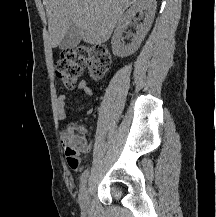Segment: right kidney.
I'll list each match as a JSON object with an SVG mask.
<instances>
[{
  "instance_id": "1",
  "label": "right kidney",
  "mask_w": 216,
  "mask_h": 217,
  "mask_svg": "<svg viewBox=\"0 0 216 217\" xmlns=\"http://www.w3.org/2000/svg\"><path fill=\"white\" fill-rule=\"evenodd\" d=\"M156 0H137L118 20L116 29L114 31L111 44L112 51L115 56L126 57L135 53L140 47L146 34L148 33L151 24L154 20L156 12ZM138 12H143L145 18L143 22L136 27V34L133 36L132 42L124 44L122 33L127 29L132 19Z\"/></svg>"
}]
</instances>
